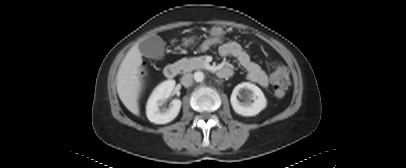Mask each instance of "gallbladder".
<instances>
[{"instance_id": "1", "label": "gallbladder", "mask_w": 406, "mask_h": 168, "mask_svg": "<svg viewBox=\"0 0 406 168\" xmlns=\"http://www.w3.org/2000/svg\"><path fill=\"white\" fill-rule=\"evenodd\" d=\"M139 50L145 57L160 59L164 56L165 44L160 36L152 35L139 44Z\"/></svg>"}]
</instances>
